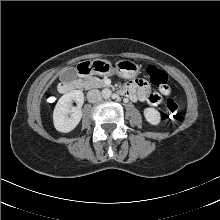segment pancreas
Wrapping results in <instances>:
<instances>
[{
  "label": "pancreas",
  "instance_id": "1",
  "mask_svg": "<svg viewBox=\"0 0 220 220\" xmlns=\"http://www.w3.org/2000/svg\"><path fill=\"white\" fill-rule=\"evenodd\" d=\"M81 82L85 89L105 87V83L98 77L87 76Z\"/></svg>",
  "mask_w": 220,
  "mask_h": 220
}]
</instances>
